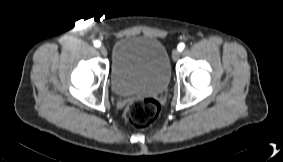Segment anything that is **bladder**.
<instances>
[{
	"label": "bladder",
	"mask_w": 283,
	"mask_h": 162,
	"mask_svg": "<svg viewBox=\"0 0 283 162\" xmlns=\"http://www.w3.org/2000/svg\"><path fill=\"white\" fill-rule=\"evenodd\" d=\"M170 77L169 54L158 39L130 35L115 42L110 80L116 95H158L166 90Z\"/></svg>",
	"instance_id": "1"
}]
</instances>
